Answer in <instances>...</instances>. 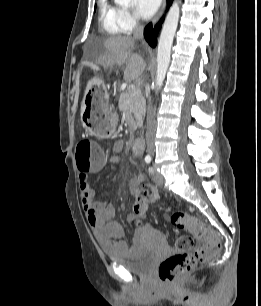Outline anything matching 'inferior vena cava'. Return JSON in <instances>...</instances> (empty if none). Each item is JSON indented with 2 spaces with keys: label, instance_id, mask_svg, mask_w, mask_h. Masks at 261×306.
<instances>
[{
  "label": "inferior vena cava",
  "instance_id": "1",
  "mask_svg": "<svg viewBox=\"0 0 261 306\" xmlns=\"http://www.w3.org/2000/svg\"><path fill=\"white\" fill-rule=\"evenodd\" d=\"M134 39H142L143 38V26L138 24L134 28L133 31ZM155 108L152 106L151 102H149L148 112H147V131H146V143H147V152L150 155H153L155 152L154 146V135H155Z\"/></svg>",
  "mask_w": 261,
  "mask_h": 306
}]
</instances>
